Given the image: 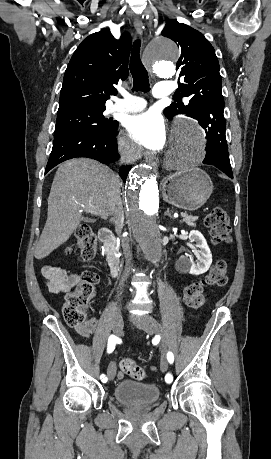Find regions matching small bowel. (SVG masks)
Masks as SVG:
<instances>
[{
    "label": "small bowel",
    "mask_w": 271,
    "mask_h": 459,
    "mask_svg": "<svg viewBox=\"0 0 271 459\" xmlns=\"http://www.w3.org/2000/svg\"><path fill=\"white\" fill-rule=\"evenodd\" d=\"M45 287L49 292L54 294L69 292L76 286L81 276L79 274H71L66 269L58 266H45L42 270ZM97 320L90 318L84 323L74 328L75 332L84 338L92 336L96 330ZM122 376V373L119 374Z\"/></svg>",
    "instance_id": "c3829d8e"
}]
</instances>
